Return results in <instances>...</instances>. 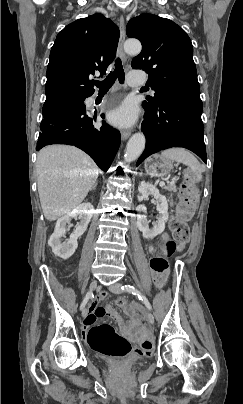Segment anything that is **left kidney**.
Segmentation results:
<instances>
[{"instance_id":"5707ae66","label":"left kidney","mask_w":243,"mask_h":404,"mask_svg":"<svg viewBox=\"0 0 243 404\" xmlns=\"http://www.w3.org/2000/svg\"><path fill=\"white\" fill-rule=\"evenodd\" d=\"M140 196H138V202H142L144 198H148V196H154L157 204V212L159 214L157 218V222L153 228V230H149L148 220L146 216L147 208L145 206H137V212H142V214H137V228L142 232L143 238L146 240H153L156 238L158 234H162L165 230V224L168 220V204L165 196L160 194L159 190L152 186V184H148V182H140V186L138 188Z\"/></svg>"}]
</instances>
